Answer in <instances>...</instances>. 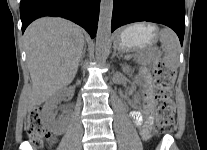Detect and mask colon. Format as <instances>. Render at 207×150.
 Segmentation results:
<instances>
[{
	"label": "colon",
	"instance_id": "5ec220e1",
	"mask_svg": "<svg viewBox=\"0 0 207 150\" xmlns=\"http://www.w3.org/2000/svg\"><path fill=\"white\" fill-rule=\"evenodd\" d=\"M155 100H156V131L169 133L175 129L174 107L171 99V85L175 70L166 64L162 58L154 61ZM26 131L32 143L42 145L51 138L46 130L39 109L33 110L26 122Z\"/></svg>",
	"mask_w": 207,
	"mask_h": 150
}]
</instances>
